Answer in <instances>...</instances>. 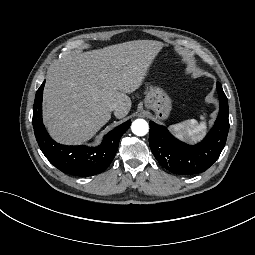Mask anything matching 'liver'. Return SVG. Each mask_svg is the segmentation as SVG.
Listing matches in <instances>:
<instances>
[{"label":"liver","instance_id":"1","mask_svg":"<svg viewBox=\"0 0 255 255\" xmlns=\"http://www.w3.org/2000/svg\"><path fill=\"white\" fill-rule=\"evenodd\" d=\"M164 45L140 40L79 53L52 65L46 76L44 120L52 136L63 143L91 139L110 119L131 108L126 94L137 91Z\"/></svg>","mask_w":255,"mask_h":255}]
</instances>
